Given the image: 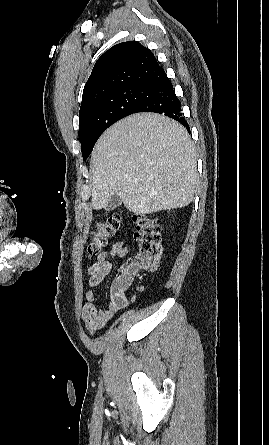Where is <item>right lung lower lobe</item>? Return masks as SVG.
<instances>
[{
	"instance_id": "obj_1",
	"label": "right lung lower lobe",
	"mask_w": 269,
	"mask_h": 445,
	"mask_svg": "<svg viewBox=\"0 0 269 445\" xmlns=\"http://www.w3.org/2000/svg\"><path fill=\"white\" fill-rule=\"evenodd\" d=\"M153 87V96L140 105L134 113L155 112L164 114L181 123L190 132L188 123L185 121L182 115L181 102L175 95L173 85L167 78V75L165 74Z\"/></svg>"
}]
</instances>
